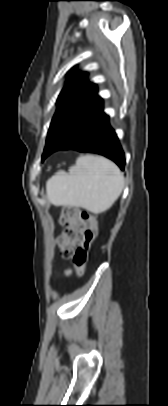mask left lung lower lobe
<instances>
[{"instance_id": "left-lung-lower-lobe-1", "label": "left lung lower lobe", "mask_w": 168, "mask_h": 406, "mask_svg": "<svg viewBox=\"0 0 168 406\" xmlns=\"http://www.w3.org/2000/svg\"><path fill=\"white\" fill-rule=\"evenodd\" d=\"M108 119L109 117L103 112V102L101 101L93 110L83 128L56 150L72 149L80 152L101 154L113 160L123 171L125 164L124 153L114 130L109 125Z\"/></svg>"}]
</instances>
